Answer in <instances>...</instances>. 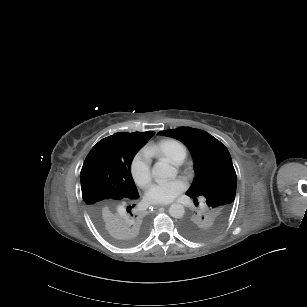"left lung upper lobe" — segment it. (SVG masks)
<instances>
[{
	"label": "left lung upper lobe",
	"instance_id": "left-lung-upper-lobe-1",
	"mask_svg": "<svg viewBox=\"0 0 307 307\" xmlns=\"http://www.w3.org/2000/svg\"><path fill=\"white\" fill-rule=\"evenodd\" d=\"M158 134L183 142L194 160L195 179L186 195L195 205L197 198L203 205L180 222V231L192 240L214 236L224 226L236 194L237 177L227 148L209 133L191 127Z\"/></svg>",
	"mask_w": 307,
	"mask_h": 307
}]
</instances>
